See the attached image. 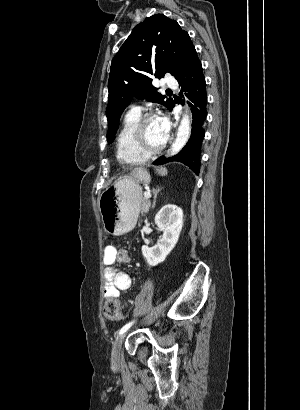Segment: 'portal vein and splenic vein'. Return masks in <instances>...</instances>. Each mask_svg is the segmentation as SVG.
Segmentation results:
<instances>
[{"mask_svg":"<svg viewBox=\"0 0 300 410\" xmlns=\"http://www.w3.org/2000/svg\"><path fill=\"white\" fill-rule=\"evenodd\" d=\"M144 197H145V198H150V197H151L150 191H145V192H144Z\"/></svg>","mask_w":300,"mask_h":410,"instance_id":"1","label":"portal vein and splenic vein"}]
</instances>
